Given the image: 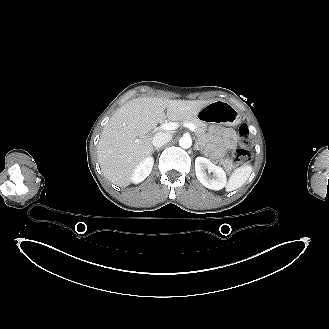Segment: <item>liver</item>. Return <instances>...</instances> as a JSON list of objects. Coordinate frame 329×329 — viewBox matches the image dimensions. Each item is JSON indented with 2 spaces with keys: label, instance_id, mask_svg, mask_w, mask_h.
<instances>
[{
  "label": "liver",
  "instance_id": "liver-1",
  "mask_svg": "<svg viewBox=\"0 0 329 329\" xmlns=\"http://www.w3.org/2000/svg\"><path fill=\"white\" fill-rule=\"evenodd\" d=\"M211 102L141 97L125 103L106 124L98 142V160L104 176L117 186H128L134 169L151 154L152 139L147 135L157 124L166 118H194Z\"/></svg>",
  "mask_w": 329,
  "mask_h": 329
}]
</instances>
